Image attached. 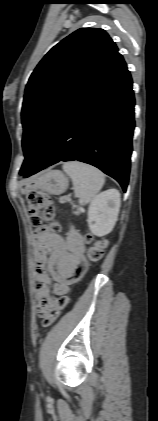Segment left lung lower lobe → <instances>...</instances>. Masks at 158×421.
<instances>
[{
  "instance_id": "left-lung-lower-lobe-1",
  "label": "left lung lower lobe",
  "mask_w": 158,
  "mask_h": 421,
  "mask_svg": "<svg viewBox=\"0 0 158 421\" xmlns=\"http://www.w3.org/2000/svg\"><path fill=\"white\" fill-rule=\"evenodd\" d=\"M134 105L132 79L117 52L62 113L24 177L60 161L78 160L113 177L126 191Z\"/></svg>"
}]
</instances>
